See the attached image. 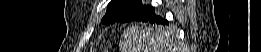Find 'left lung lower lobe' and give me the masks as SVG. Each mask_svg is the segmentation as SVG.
<instances>
[{"instance_id": "1", "label": "left lung lower lobe", "mask_w": 261, "mask_h": 52, "mask_svg": "<svg viewBox=\"0 0 261 52\" xmlns=\"http://www.w3.org/2000/svg\"><path fill=\"white\" fill-rule=\"evenodd\" d=\"M137 21H144V22L165 24V25L169 24L167 20L162 19L160 16H156L152 7L151 9L146 11Z\"/></svg>"}]
</instances>
